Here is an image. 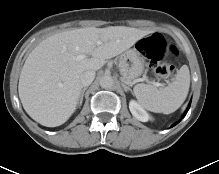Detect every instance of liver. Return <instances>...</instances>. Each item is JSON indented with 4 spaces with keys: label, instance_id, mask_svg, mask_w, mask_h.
<instances>
[{
    "label": "liver",
    "instance_id": "liver-1",
    "mask_svg": "<svg viewBox=\"0 0 219 174\" xmlns=\"http://www.w3.org/2000/svg\"><path fill=\"white\" fill-rule=\"evenodd\" d=\"M148 33L125 26L87 27L44 39L29 54L20 74L18 92L25 111L43 126L62 125L78 103L81 75L100 69ZM82 54L91 58L79 59Z\"/></svg>",
    "mask_w": 219,
    "mask_h": 174
}]
</instances>
